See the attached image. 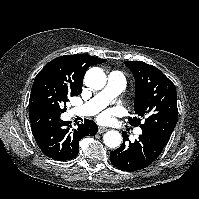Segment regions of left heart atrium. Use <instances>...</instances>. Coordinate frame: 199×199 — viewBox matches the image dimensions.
<instances>
[{
    "instance_id": "obj_1",
    "label": "left heart atrium",
    "mask_w": 199,
    "mask_h": 199,
    "mask_svg": "<svg viewBox=\"0 0 199 199\" xmlns=\"http://www.w3.org/2000/svg\"><path fill=\"white\" fill-rule=\"evenodd\" d=\"M99 119L100 120H106L107 119V114L106 113L101 114Z\"/></svg>"
}]
</instances>
